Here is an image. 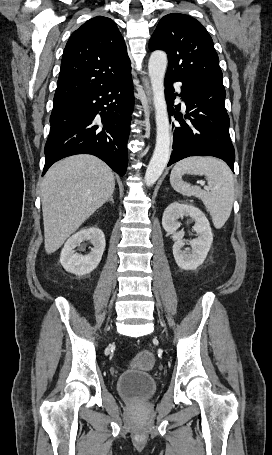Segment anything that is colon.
Instances as JSON below:
<instances>
[{
	"instance_id": "5ec220e1",
	"label": "colon",
	"mask_w": 272,
	"mask_h": 455,
	"mask_svg": "<svg viewBox=\"0 0 272 455\" xmlns=\"http://www.w3.org/2000/svg\"><path fill=\"white\" fill-rule=\"evenodd\" d=\"M154 356L148 350L139 352L131 362L132 367L140 370H150L154 365Z\"/></svg>"
}]
</instances>
